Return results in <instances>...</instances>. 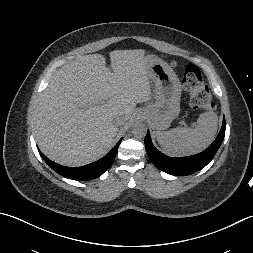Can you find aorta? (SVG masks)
Returning <instances> with one entry per match:
<instances>
[{"instance_id": "obj_1", "label": "aorta", "mask_w": 253, "mask_h": 253, "mask_svg": "<svg viewBox=\"0 0 253 253\" xmlns=\"http://www.w3.org/2000/svg\"><path fill=\"white\" fill-rule=\"evenodd\" d=\"M132 134L136 138H144L147 134V126L142 122H136L132 126Z\"/></svg>"}]
</instances>
